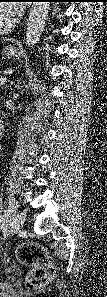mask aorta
Instances as JSON below:
<instances>
[{
  "label": "aorta",
  "mask_w": 107,
  "mask_h": 297,
  "mask_svg": "<svg viewBox=\"0 0 107 297\" xmlns=\"http://www.w3.org/2000/svg\"><path fill=\"white\" fill-rule=\"evenodd\" d=\"M49 8V2H33L26 29V43L28 47L31 48L39 42L44 31Z\"/></svg>",
  "instance_id": "762f6f07"
}]
</instances>
